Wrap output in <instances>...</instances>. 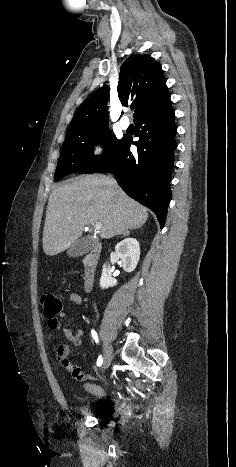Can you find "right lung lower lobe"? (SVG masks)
<instances>
[{"label":"right lung lower lobe","instance_id":"obj_1","mask_svg":"<svg viewBox=\"0 0 236 467\" xmlns=\"http://www.w3.org/2000/svg\"><path fill=\"white\" fill-rule=\"evenodd\" d=\"M134 122L138 130L136 136L140 139L132 142L131 137H125L117 154L93 173L114 172L119 186L131 198L151 209L163 228L172 197L169 183L176 148L170 97ZM132 143L138 147L137 154L130 151Z\"/></svg>","mask_w":236,"mask_h":467}]
</instances>
